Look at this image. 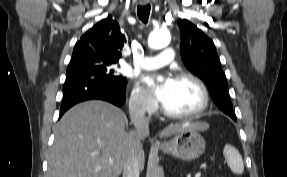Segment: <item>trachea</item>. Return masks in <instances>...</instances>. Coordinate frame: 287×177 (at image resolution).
<instances>
[{
	"label": "trachea",
	"mask_w": 287,
	"mask_h": 177,
	"mask_svg": "<svg viewBox=\"0 0 287 177\" xmlns=\"http://www.w3.org/2000/svg\"><path fill=\"white\" fill-rule=\"evenodd\" d=\"M150 9H151V7L149 4L147 6H138L137 7L138 18L145 24L148 22Z\"/></svg>",
	"instance_id": "obj_1"
}]
</instances>
